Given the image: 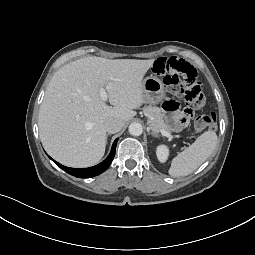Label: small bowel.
Returning <instances> with one entry per match:
<instances>
[{
  "instance_id": "small-bowel-1",
  "label": "small bowel",
  "mask_w": 255,
  "mask_h": 255,
  "mask_svg": "<svg viewBox=\"0 0 255 255\" xmlns=\"http://www.w3.org/2000/svg\"><path fill=\"white\" fill-rule=\"evenodd\" d=\"M164 109L175 129L180 130L187 125L189 116L179 111L178 104L175 101H167L164 104Z\"/></svg>"
}]
</instances>
